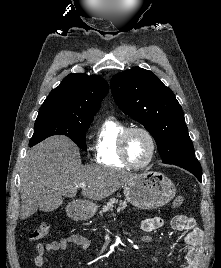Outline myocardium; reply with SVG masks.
I'll return each mask as SVG.
<instances>
[{
	"label": "myocardium",
	"instance_id": "f54148a6",
	"mask_svg": "<svg viewBox=\"0 0 221 268\" xmlns=\"http://www.w3.org/2000/svg\"><path fill=\"white\" fill-rule=\"evenodd\" d=\"M136 131L145 134L147 136V138L149 139L150 144H151V151H150V155H149L148 159L140 165H136V164L132 163L130 161V159L128 157V153H127V139L131 133L136 132ZM118 151H119V156H120L122 162L127 167H129L131 169H136V170L143 169V168L147 167L155 158L156 151H157L156 140H155L153 134L145 127H142V126L127 127L123 130V132L121 133V135L119 137Z\"/></svg>",
	"mask_w": 221,
	"mask_h": 268
}]
</instances>
